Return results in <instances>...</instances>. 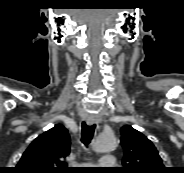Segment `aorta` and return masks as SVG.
<instances>
[{
  "label": "aorta",
  "instance_id": "762f6f07",
  "mask_svg": "<svg viewBox=\"0 0 184 173\" xmlns=\"http://www.w3.org/2000/svg\"><path fill=\"white\" fill-rule=\"evenodd\" d=\"M116 147V137L112 133L101 134L93 144L94 151L98 153L111 152Z\"/></svg>",
  "mask_w": 184,
  "mask_h": 173
}]
</instances>
